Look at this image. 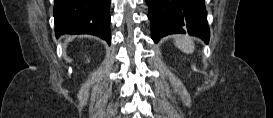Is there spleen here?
Returning a JSON list of instances; mask_svg holds the SVG:
<instances>
[{
	"mask_svg": "<svg viewBox=\"0 0 273 118\" xmlns=\"http://www.w3.org/2000/svg\"><path fill=\"white\" fill-rule=\"evenodd\" d=\"M175 45L184 53H192L194 51V43L187 36H180L175 39Z\"/></svg>",
	"mask_w": 273,
	"mask_h": 118,
	"instance_id": "spleen-1",
	"label": "spleen"
}]
</instances>
